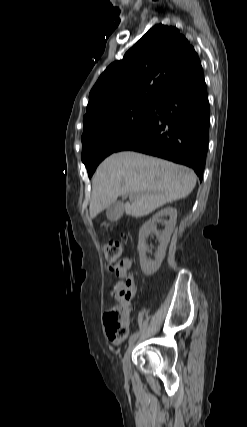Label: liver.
Returning <instances> with one entry per match:
<instances>
[{
  "label": "liver",
  "instance_id": "liver-1",
  "mask_svg": "<svg viewBox=\"0 0 247 427\" xmlns=\"http://www.w3.org/2000/svg\"><path fill=\"white\" fill-rule=\"evenodd\" d=\"M196 185L195 173L182 165L133 151L114 153L97 168L92 180L90 217L131 194L124 210L134 217L146 216L157 208L187 197Z\"/></svg>",
  "mask_w": 247,
  "mask_h": 427
}]
</instances>
